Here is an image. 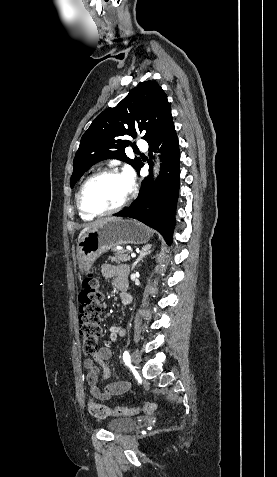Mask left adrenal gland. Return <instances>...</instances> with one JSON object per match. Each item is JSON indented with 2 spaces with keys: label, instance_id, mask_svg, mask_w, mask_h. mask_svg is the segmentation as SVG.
Returning <instances> with one entry per match:
<instances>
[{
  "label": "left adrenal gland",
  "instance_id": "a2214340",
  "mask_svg": "<svg viewBox=\"0 0 277 477\" xmlns=\"http://www.w3.org/2000/svg\"><path fill=\"white\" fill-rule=\"evenodd\" d=\"M151 246H152V245L148 244V245H145V246L142 248V250L140 251V254H139L137 260H136V261L133 263V265H132V270L137 266V264H138L145 256L149 255V254L152 252Z\"/></svg>",
  "mask_w": 277,
  "mask_h": 477
}]
</instances>
